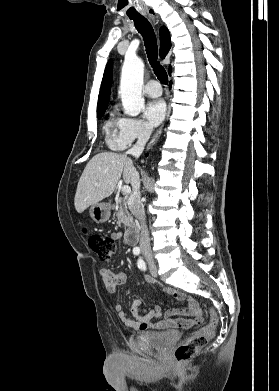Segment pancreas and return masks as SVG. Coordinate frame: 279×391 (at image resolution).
Listing matches in <instances>:
<instances>
[{"label": "pancreas", "instance_id": "1", "mask_svg": "<svg viewBox=\"0 0 279 391\" xmlns=\"http://www.w3.org/2000/svg\"><path fill=\"white\" fill-rule=\"evenodd\" d=\"M112 209L116 211V216L118 218L117 224H124L125 227H130L132 225V217L126 207L122 205V200L117 199L116 204L112 206Z\"/></svg>", "mask_w": 279, "mask_h": 391}]
</instances>
